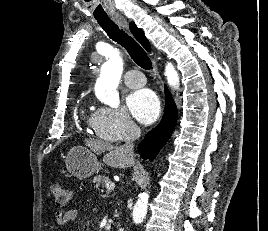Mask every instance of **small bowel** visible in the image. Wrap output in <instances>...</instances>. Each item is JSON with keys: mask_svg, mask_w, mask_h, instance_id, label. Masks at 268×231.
<instances>
[{"mask_svg": "<svg viewBox=\"0 0 268 231\" xmlns=\"http://www.w3.org/2000/svg\"><path fill=\"white\" fill-rule=\"evenodd\" d=\"M79 212L76 209H70V210H58L56 213V224L57 226H64L69 223H73L78 219Z\"/></svg>", "mask_w": 268, "mask_h": 231, "instance_id": "small-bowel-1", "label": "small bowel"}]
</instances>
